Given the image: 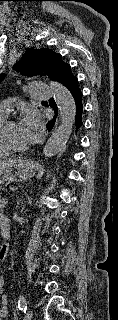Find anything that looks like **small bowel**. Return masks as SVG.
Instances as JSON below:
<instances>
[{
	"label": "small bowel",
	"instance_id": "obj_1",
	"mask_svg": "<svg viewBox=\"0 0 118 320\" xmlns=\"http://www.w3.org/2000/svg\"><path fill=\"white\" fill-rule=\"evenodd\" d=\"M0 206L5 207L6 206V200H0ZM6 247H1L0 252H5ZM4 286H5V278L3 276H0V320L7 317L8 315V298L4 293Z\"/></svg>",
	"mask_w": 118,
	"mask_h": 320
}]
</instances>
